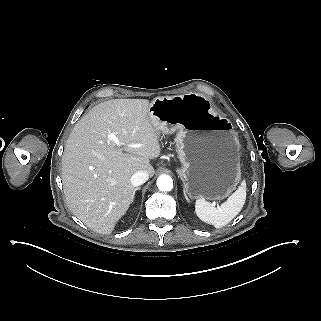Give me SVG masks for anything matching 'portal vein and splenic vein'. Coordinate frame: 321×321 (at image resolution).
Returning a JSON list of instances; mask_svg holds the SVG:
<instances>
[{
	"label": "portal vein and splenic vein",
	"mask_w": 321,
	"mask_h": 321,
	"mask_svg": "<svg viewBox=\"0 0 321 321\" xmlns=\"http://www.w3.org/2000/svg\"><path fill=\"white\" fill-rule=\"evenodd\" d=\"M110 139L113 141H116L117 137L114 134H110ZM220 202H221L220 199L216 198L214 199L212 206L218 207V210H220V212H223V208H221Z\"/></svg>",
	"instance_id": "1"
}]
</instances>
